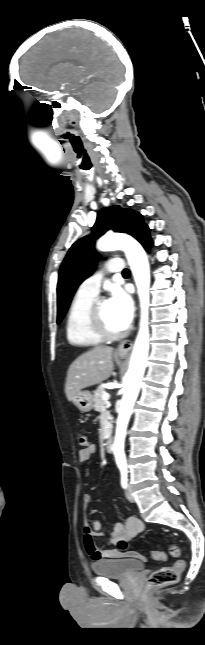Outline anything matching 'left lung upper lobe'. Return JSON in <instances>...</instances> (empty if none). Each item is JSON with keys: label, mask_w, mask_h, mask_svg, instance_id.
<instances>
[{"label": "left lung upper lobe", "mask_w": 205, "mask_h": 645, "mask_svg": "<svg viewBox=\"0 0 205 645\" xmlns=\"http://www.w3.org/2000/svg\"><path fill=\"white\" fill-rule=\"evenodd\" d=\"M142 217L138 212L118 205L103 208L98 212L91 235L79 239L71 246L59 270L57 323H60L66 314L77 287L94 271L99 258L94 249V240L113 229L116 232L127 233L140 242L149 231Z\"/></svg>", "instance_id": "left-lung-upper-lobe-1"}]
</instances>
